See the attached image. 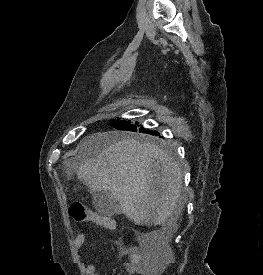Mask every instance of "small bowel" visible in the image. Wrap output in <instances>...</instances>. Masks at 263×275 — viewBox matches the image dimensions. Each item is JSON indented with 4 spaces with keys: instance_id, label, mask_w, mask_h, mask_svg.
<instances>
[{
    "instance_id": "1",
    "label": "small bowel",
    "mask_w": 263,
    "mask_h": 275,
    "mask_svg": "<svg viewBox=\"0 0 263 275\" xmlns=\"http://www.w3.org/2000/svg\"><path fill=\"white\" fill-rule=\"evenodd\" d=\"M102 218L106 221L113 222L105 217ZM95 224L103 227L101 224ZM85 241L86 234L84 232H80L74 239V247L76 250H80ZM123 254L128 255V262L125 264V272L128 275H147L149 260L146 254V247L143 244L140 243L137 246L125 248L123 250ZM83 271L85 275H98L96 266L91 263H85L83 266Z\"/></svg>"
}]
</instances>
